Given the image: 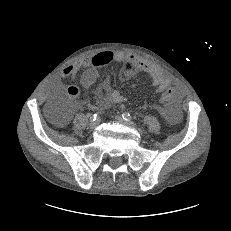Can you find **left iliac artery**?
<instances>
[{"label":"left iliac artery","mask_w":231,"mask_h":231,"mask_svg":"<svg viewBox=\"0 0 231 231\" xmlns=\"http://www.w3.org/2000/svg\"><path fill=\"white\" fill-rule=\"evenodd\" d=\"M122 117H123V119L126 120V121H131V119H132L131 115H130L128 112H124V113L122 114Z\"/></svg>","instance_id":"left-iliac-artery-1"}]
</instances>
